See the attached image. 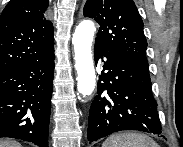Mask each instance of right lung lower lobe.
<instances>
[{
	"label": "right lung lower lobe",
	"mask_w": 183,
	"mask_h": 147,
	"mask_svg": "<svg viewBox=\"0 0 183 147\" xmlns=\"http://www.w3.org/2000/svg\"><path fill=\"white\" fill-rule=\"evenodd\" d=\"M54 51L0 73V138L48 147Z\"/></svg>",
	"instance_id": "98d812e1"
}]
</instances>
